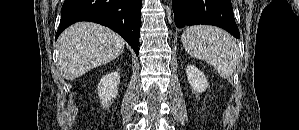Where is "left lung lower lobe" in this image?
I'll return each instance as SVG.
<instances>
[{"label": "left lung lower lobe", "mask_w": 299, "mask_h": 130, "mask_svg": "<svg viewBox=\"0 0 299 130\" xmlns=\"http://www.w3.org/2000/svg\"><path fill=\"white\" fill-rule=\"evenodd\" d=\"M177 28L207 24L221 27L235 38L240 37L231 0H172Z\"/></svg>", "instance_id": "0a47b994"}]
</instances>
